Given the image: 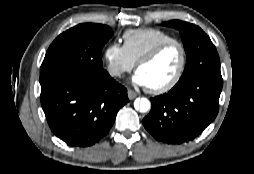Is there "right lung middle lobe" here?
I'll list each match as a JSON object with an SVG mask.
<instances>
[{
    "instance_id": "right-lung-middle-lobe-1",
    "label": "right lung middle lobe",
    "mask_w": 254,
    "mask_h": 174,
    "mask_svg": "<svg viewBox=\"0 0 254 174\" xmlns=\"http://www.w3.org/2000/svg\"><path fill=\"white\" fill-rule=\"evenodd\" d=\"M113 31L84 23L60 34L48 48L40 68L41 89L105 74L100 56Z\"/></svg>"
}]
</instances>
